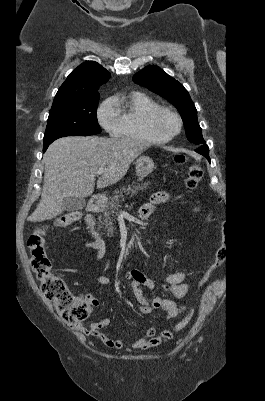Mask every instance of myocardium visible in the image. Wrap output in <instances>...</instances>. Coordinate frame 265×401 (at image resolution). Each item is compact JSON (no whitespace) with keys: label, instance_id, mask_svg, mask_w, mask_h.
Returning <instances> with one entry per match:
<instances>
[{"label":"myocardium","instance_id":"myocardium-1","mask_svg":"<svg viewBox=\"0 0 265 401\" xmlns=\"http://www.w3.org/2000/svg\"><path fill=\"white\" fill-rule=\"evenodd\" d=\"M161 114H166V115H169V116L175 118L177 120V122H178V125H179L178 131L174 135H172L171 137L166 138V139H158L156 137V135H155V132H154L155 120ZM145 126H146L147 132L151 135L152 140L155 143H166V142L172 141L173 139H175L176 137H178L182 133V130H183V119L175 111H173V110H171V109H169L167 107L158 106V107L152 109L146 115Z\"/></svg>","mask_w":265,"mask_h":401}]
</instances>
